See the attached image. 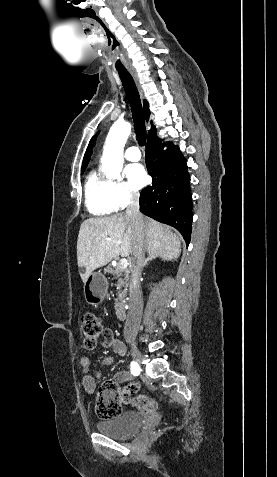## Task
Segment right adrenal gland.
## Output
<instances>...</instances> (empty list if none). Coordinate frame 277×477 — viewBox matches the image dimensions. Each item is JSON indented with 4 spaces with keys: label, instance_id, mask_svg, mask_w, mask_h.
Instances as JSON below:
<instances>
[{
    "label": "right adrenal gland",
    "instance_id": "right-adrenal-gland-1",
    "mask_svg": "<svg viewBox=\"0 0 277 477\" xmlns=\"http://www.w3.org/2000/svg\"><path fill=\"white\" fill-rule=\"evenodd\" d=\"M156 258V255L154 254H149V256L147 257V259L145 260L144 262V266H146L148 264L149 261L153 260Z\"/></svg>",
    "mask_w": 277,
    "mask_h": 477
}]
</instances>
